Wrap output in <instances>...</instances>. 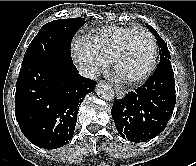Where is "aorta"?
Returning <instances> with one entry per match:
<instances>
[{
    "label": "aorta",
    "mask_w": 196,
    "mask_h": 166,
    "mask_svg": "<svg viewBox=\"0 0 196 166\" xmlns=\"http://www.w3.org/2000/svg\"><path fill=\"white\" fill-rule=\"evenodd\" d=\"M96 94L106 101H111L114 98L113 88L108 83H99L96 87Z\"/></svg>",
    "instance_id": "762f6f07"
}]
</instances>
